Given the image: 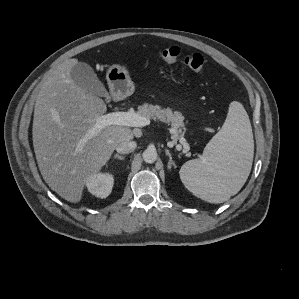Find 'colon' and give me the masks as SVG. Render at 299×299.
Returning a JSON list of instances; mask_svg holds the SVG:
<instances>
[{
	"mask_svg": "<svg viewBox=\"0 0 299 299\" xmlns=\"http://www.w3.org/2000/svg\"><path fill=\"white\" fill-rule=\"evenodd\" d=\"M160 57L167 63H176L182 61L189 69L195 72H201L205 66V60L198 53L183 57V51L177 46L167 47L160 51Z\"/></svg>",
	"mask_w": 299,
	"mask_h": 299,
	"instance_id": "1",
	"label": "colon"
}]
</instances>
